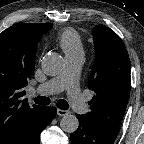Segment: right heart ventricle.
<instances>
[{
    "label": "right heart ventricle",
    "mask_w": 144,
    "mask_h": 144,
    "mask_svg": "<svg viewBox=\"0 0 144 144\" xmlns=\"http://www.w3.org/2000/svg\"><path fill=\"white\" fill-rule=\"evenodd\" d=\"M58 43L66 56L83 53L82 39L72 28H66L59 33Z\"/></svg>",
    "instance_id": "e07e8e85"
}]
</instances>
